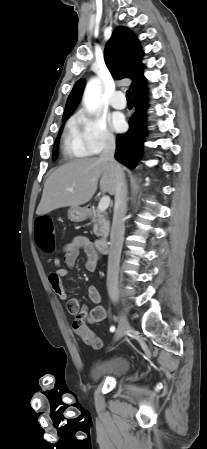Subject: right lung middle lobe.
I'll return each mask as SVG.
<instances>
[{
  "label": "right lung middle lobe",
  "mask_w": 207,
  "mask_h": 449,
  "mask_svg": "<svg viewBox=\"0 0 207 449\" xmlns=\"http://www.w3.org/2000/svg\"><path fill=\"white\" fill-rule=\"evenodd\" d=\"M66 120L67 119H62L63 122H65ZM62 128L63 127L60 128V131L58 133L57 139H56L55 144H54L53 154H52L53 161H55L57 159L58 142H59V138H60V134H61Z\"/></svg>",
  "instance_id": "right-lung-middle-lobe-1"
}]
</instances>
